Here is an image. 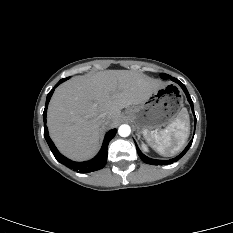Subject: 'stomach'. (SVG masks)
<instances>
[{
	"mask_svg": "<svg viewBox=\"0 0 233 233\" xmlns=\"http://www.w3.org/2000/svg\"><path fill=\"white\" fill-rule=\"evenodd\" d=\"M184 99L175 88L160 86L147 100L129 107L125 114L141 133L170 124L183 111Z\"/></svg>",
	"mask_w": 233,
	"mask_h": 233,
	"instance_id": "stomach-1",
	"label": "stomach"
}]
</instances>
